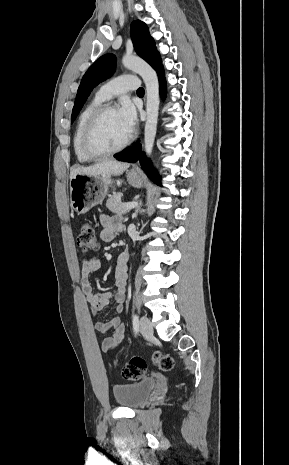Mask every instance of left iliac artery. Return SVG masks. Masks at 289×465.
Here are the masks:
<instances>
[{"instance_id": "1", "label": "left iliac artery", "mask_w": 289, "mask_h": 465, "mask_svg": "<svg viewBox=\"0 0 289 465\" xmlns=\"http://www.w3.org/2000/svg\"><path fill=\"white\" fill-rule=\"evenodd\" d=\"M133 329H134L135 333L137 334L138 329H139V320H138V316L136 314L133 316Z\"/></svg>"}]
</instances>
